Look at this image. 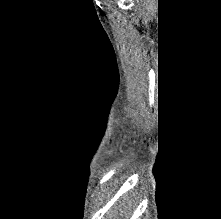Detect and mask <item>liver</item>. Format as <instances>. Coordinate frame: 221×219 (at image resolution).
Here are the masks:
<instances>
[{"label":"liver","instance_id":"6515ba94","mask_svg":"<svg viewBox=\"0 0 221 219\" xmlns=\"http://www.w3.org/2000/svg\"><path fill=\"white\" fill-rule=\"evenodd\" d=\"M133 204L127 197L120 202L118 206L114 205V209L110 211L114 219H129L132 214Z\"/></svg>","mask_w":221,"mask_h":219}]
</instances>
